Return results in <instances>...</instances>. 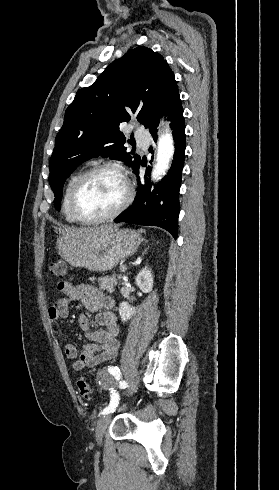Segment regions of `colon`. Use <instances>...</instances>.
<instances>
[{"mask_svg":"<svg viewBox=\"0 0 279 490\" xmlns=\"http://www.w3.org/2000/svg\"><path fill=\"white\" fill-rule=\"evenodd\" d=\"M48 270L51 275L62 279L66 274V263L63 260L53 261L49 264ZM76 385L82 399L93 400L94 390L86 380L80 378L77 380Z\"/></svg>","mask_w":279,"mask_h":490,"instance_id":"colon-1","label":"colon"}]
</instances>
